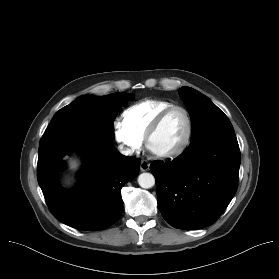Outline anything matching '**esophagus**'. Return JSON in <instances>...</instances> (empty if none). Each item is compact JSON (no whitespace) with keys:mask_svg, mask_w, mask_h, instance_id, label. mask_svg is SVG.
<instances>
[{"mask_svg":"<svg viewBox=\"0 0 279 279\" xmlns=\"http://www.w3.org/2000/svg\"><path fill=\"white\" fill-rule=\"evenodd\" d=\"M149 168H150L149 162L146 161V160H142V161H141V164H140V169H141V171H142V172L148 171Z\"/></svg>","mask_w":279,"mask_h":279,"instance_id":"obj_1","label":"esophagus"}]
</instances>
